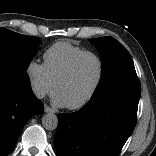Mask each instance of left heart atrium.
I'll return each instance as SVG.
<instances>
[{
    "label": "left heart atrium",
    "mask_w": 156,
    "mask_h": 156,
    "mask_svg": "<svg viewBox=\"0 0 156 156\" xmlns=\"http://www.w3.org/2000/svg\"><path fill=\"white\" fill-rule=\"evenodd\" d=\"M52 100L56 106H59V107L66 106L65 102L63 101V99L60 97V95L57 92H55V94L53 95Z\"/></svg>",
    "instance_id": "obj_1"
}]
</instances>
